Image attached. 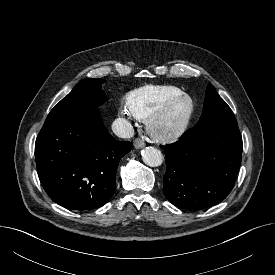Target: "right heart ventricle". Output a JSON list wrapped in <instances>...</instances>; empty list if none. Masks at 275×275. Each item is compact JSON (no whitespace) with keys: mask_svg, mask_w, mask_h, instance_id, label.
<instances>
[{"mask_svg":"<svg viewBox=\"0 0 275 275\" xmlns=\"http://www.w3.org/2000/svg\"><path fill=\"white\" fill-rule=\"evenodd\" d=\"M182 93L172 85H146L132 91L127 97V108L139 119H146L156 108Z\"/></svg>","mask_w":275,"mask_h":275,"instance_id":"right-heart-ventricle-1","label":"right heart ventricle"}]
</instances>
